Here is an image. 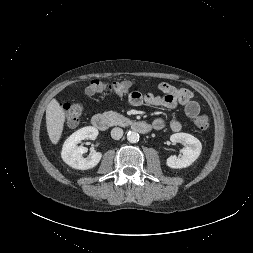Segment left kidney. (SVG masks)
<instances>
[{"instance_id":"left-kidney-1","label":"left kidney","mask_w":253,"mask_h":253,"mask_svg":"<svg viewBox=\"0 0 253 253\" xmlns=\"http://www.w3.org/2000/svg\"><path fill=\"white\" fill-rule=\"evenodd\" d=\"M172 143H181L184 148L181 150L183 156L178 158L170 156L166 164L170 168L178 169L190 166L200 155L202 150L201 142L194 136L188 133H175L170 136Z\"/></svg>"}]
</instances>
